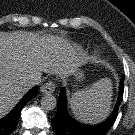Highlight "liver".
I'll list each match as a JSON object with an SVG mask.
<instances>
[{"mask_svg":"<svg viewBox=\"0 0 135 135\" xmlns=\"http://www.w3.org/2000/svg\"><path fill=\"white\" fill-rule=\"evenodd\" d=\"M78 64L76 46L60 37L0 32V118L28 91L30 76L40 82L42 72L66 75Z\"/></svg>","mask_w":135,"mask_h":135,"instance_id":"obj_1","label":"liver"}]
</instances>
